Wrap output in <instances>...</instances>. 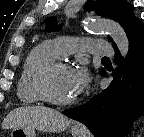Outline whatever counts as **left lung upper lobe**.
I'll return each instance as SVG.
<instances>
[{"label":"left lung upper lobe","mask_w":144,"mask_h":137,"mask_svg":"<svg viewBox=\"0 0 144 137\" xmlns=\"http://www.w3.org/2000/svg\"><path fill=\"white\" fill-rule=\"evenodd\" d=\"M87 10H96V13L101 16H108L111 19L119 22V24L124 28L127 36L128 34L140 23L141 19L136 18L133 15V5L129 4L125 0H99L96 3L89 1L85 6ZM47 28L54 32L57 28L61 29V26H57L54 18H49L46 20ZM109 41H112L109 38ZM116 47V44H112ZM104 70L101 71L103 74Z\"/></svg>","instance_id":"obj_1"}]
</instances>
